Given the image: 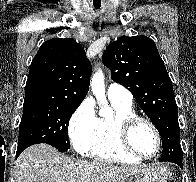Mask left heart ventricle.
Listing matches in <instances>:
<instances>
[{"instance_id": "1", "label": "left heart ventricle", "mask_w": 196, "mask_h": 182, "mask_svg": "<svg viewBox=\"0 0 196 182\" xmlns=\"http://www.w3.org/2000/svg\"><path fill=\"white\" fill-rule=\"evenodd\" d=\"M133 148L143 155H152L157 148V140L153 130L146 123H138L131 132Z\"/></svg>"}]
</instances>
